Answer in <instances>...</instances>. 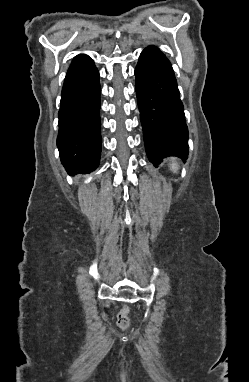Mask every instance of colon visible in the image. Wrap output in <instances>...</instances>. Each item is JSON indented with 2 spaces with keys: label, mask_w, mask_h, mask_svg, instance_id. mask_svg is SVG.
<instances>
[{
  "label": "colon",
  "mask_w": 249,
  "mask_h": 382,
  "mask_svg": "<svg viewBox=\"0 0 249 382\" xmlns=\"http://www.w3.org/2000/svg\"><path fill=\"white\" fill-rule=\"evenodd\" d=\"M116 323L120 328H127L130 324L128 318V308L124 307L120 313L117 315Z\"/></svg>",
  "instance_id": "colon-1"
}]
</instances>
